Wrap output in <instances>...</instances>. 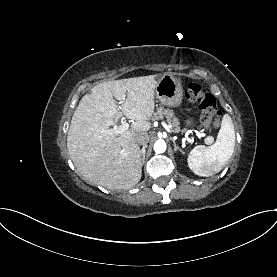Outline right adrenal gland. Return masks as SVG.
Listing matches in <instances>:
<instances>
[{"label":"right adrenal gland","mask_w":277,"mask_h":277,"mask_svg":"<svg viewBox=\"0 0 277 277\" xmlns=\"http://www.w3.org/2000/svg\"><path fill=\"white\" fill-rule=\"evenodd\" d=\"M146 148H147V146H143V148L140 150V153H141V165L144 164Z\"/></svg>","instance_id":"obj_1"}]
</instances>
